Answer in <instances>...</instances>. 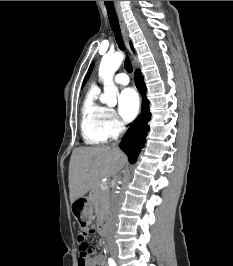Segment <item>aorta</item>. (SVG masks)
Masks as SVG:
<instances>
[{"label":"aorta","mask_w":233,"mask_h":266,"mask_svg":"<svg viewBox=\"0 0 233 266\" xmlns=\"http://www.w3.org/2000/svg\"><path fill=\"white\" fill-rule=\"evenodd\" d=\"M123 59V53L115 52L111 55H105L99 66V77L102 79L104 84V93L101 95L100 101L108 106H115L117 103L116 95L118 93V89L114 84L113 77L120 67Z\"/></svg>","instance_id":"aorta-1"}]
</instances>
